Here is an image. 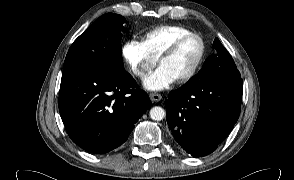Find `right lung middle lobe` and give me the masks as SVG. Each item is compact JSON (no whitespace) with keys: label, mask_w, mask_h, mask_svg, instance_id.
Listing matches in <instances>:
<instances>
[{"label":"right lung middle lobe","mask_w":294,"mask_h":180,"mask_svg":"<svg viewBox=\"0 0 294 180\" xmlns=\"http://www.w3.org/2000/svg\"><path fill=\"white\" fill-rule=\"evenodd\" d=\"M125 18L108 13L99 17L71 45L62 76L80 70L126 73L121 54V30Z\"/></svg>","instance_id":"right-lung-middle-lobe-1"}]
</instances>
